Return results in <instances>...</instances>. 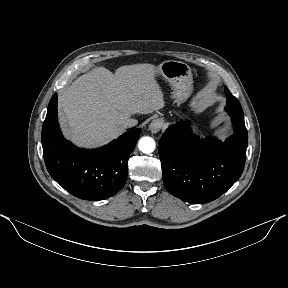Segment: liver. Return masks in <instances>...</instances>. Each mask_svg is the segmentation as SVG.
I'll list each match as a JSON object with an SVG mask.
<instances>
[{
  "label": "liver",
  "instance_id": "6515ba94",
  "mask_svg": "<svg viewBox=\"0 0 288 288\" xmlns=\"http://www.w3.org/2000/svg\"><path fill=\"white\" fill-rule=\"evenodd\" d=\"M155 73L154 65L135 64L115 73L96 67L78 77L59 98L66 137L81 147L104 145L123 133V122L131 115L163 108Z\"/></svg>",
  "mask_w": 288,
  "mask_h": 288
}]
</instances>
